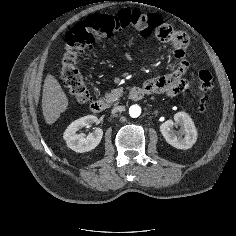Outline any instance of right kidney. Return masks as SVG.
Masks as SVG:
<instances>
[{
	"label": "right kidney",
	"mask_w": 236,
	"mask_h": 236,
	"mask_svg": "<svg viewBox=\"0 0 236 236\" xmlns=\"http://www.w3.org/2000/svg\"><path fill=\"white\" fill-rule=\"evenodd\" d=\"M98 118L94 115H87L72 122L63 134L67 146L78 153H84L95 149L100 143L103 131L100 128H95L88 135L77 132L83 127H89L93 123H97Z\"/></svg>",
	"instance_id": "ca27d5eb"
}]
</instances>
